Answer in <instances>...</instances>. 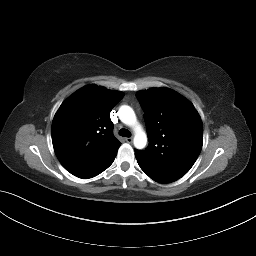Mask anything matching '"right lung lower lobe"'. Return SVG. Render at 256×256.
Wrapping results in <instances>:
<instances>
[{
    "instance_id": "1",
    "label": "right lung lower lobe",
    "mask_w": 256,
    "mask_h": 256,
    "mask_svg": "<svg viewBox=\"0 0 256 256\" xmlns=\"http://www.w3.org/2000/svg\"><path fill=\"white\" fill-rule=\"evenodd\" d=\"M115 157H116V154L106 160L79 168L77 170L71 171L70 173L76 177L83 178V179L92 178L100 174L101 172H103L105 169H107L113 163Z\"/></svg>"
}]
</instances>
